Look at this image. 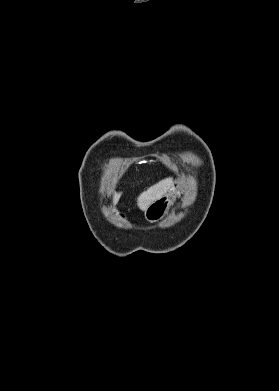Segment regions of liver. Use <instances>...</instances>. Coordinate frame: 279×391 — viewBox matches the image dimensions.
I'll return each instance as SVG.
<instances>
[{
    "label": "liver",
    "instance_id": "obj_1",
    "mask_svg": "<svg viewBox=\"0 0 279 391\" xmlns=\"http://www.w3.org/2000/svg\"><path fill=\"white\" fill-rule=\"evenodd\" d=\"M173 184L172 178H166L162 181H159L155 185L148 188L146 191L142 192L137 198V205L142 210L145 211L153 202L160 199L162 196L167 194ZM121 193H114L113 203L116 204L119 201Z\"/></svg>",
    "mask_w": 279,
    "mask_h": 391
}]
</instances>
